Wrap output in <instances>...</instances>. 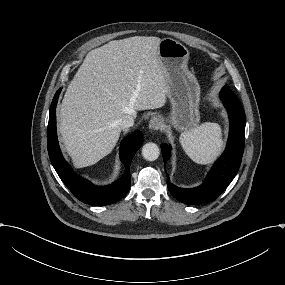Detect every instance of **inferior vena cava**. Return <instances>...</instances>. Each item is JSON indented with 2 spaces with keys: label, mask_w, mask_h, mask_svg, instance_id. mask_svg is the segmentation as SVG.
Here are the masks:
<instances>
[{
  "label": "inferior vena cava",
  "mask_w": 285,
  "mask_h": 285,
  "mask_svg": "<svg viewBox=\"0 0 285 285\" xmlns=\"http://www.w3.org/2000/svg\"><path fill=\"white\" fill-rule=\"evenodd\" d=\"M137 115V111L133 110L131 113L124 115L118 120V125L125 129L134 125V118Z\"/></svg>",
  "instance_id": "1"
}]
</instances>
